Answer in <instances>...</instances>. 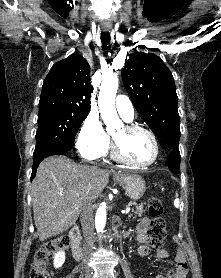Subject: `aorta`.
Returning a JSON list of instances; mask_svg holds the SVG:
<instances>
[{
  "label": "aorta",
  "mask_w": 221,
  "mask_h": 278,
  "mask_svg": "<svg viewBox=\"0 0 221 278\" xmlns=\"http://www.w3.org/2000/svg\"><path fill=\"white\" fill-rule=\"evenodd\" d=\"M118 89V77L116 74L105 76L100 86L98 105L104 122L108 125L110 119H118L115 108V97ZM106 203H102L97 209L95 227L97 232H102L106 223Z\"/></svg>",
  "instance_id": "aorta-1"
}]
</instances>
